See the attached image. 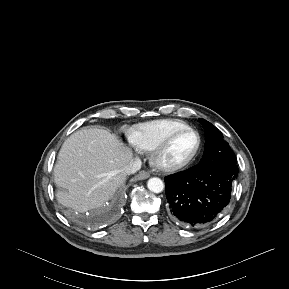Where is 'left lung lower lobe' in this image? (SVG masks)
I'll use <instances>...</instances> for the list:
<instances>
[{"instance_id": "left-lung-lower-lobe-1", "label": "left lung lower lobe", "mask_w": 289, "mask_h": 289, "mask_svg": "<svg viewBox=\"0 0 289 289\" xmlns=\"http://www.w3.org/2000/svg\"><path fill=\"white\" fill-rule=\"evenodd\" d=\"M237 175L236 164L196 165L165 177L171 217L193 227L214 222L230 202Z\"/></svg>"}]
</instances>
